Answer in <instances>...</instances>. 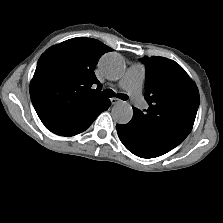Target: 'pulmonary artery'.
<instances>
[{
	"instance_id": "e3ab8cb5",
	"label": "pulmonary artery",
	"mask_w": 223,
	"mask_h": 223,
	"mask_svg": "<svg viewBox=\"0 0 223 223\" xmlns=\"http://www.w3.org/2000/svg\"><path fill=\"white\" fill-rule=\"evenodd\" d=\"M144 77V67L141 64H133L119 81V87L129 94L132 103L137 108H143L145 106V101L142 97Z\"/></svg>"
}]
</instances>
